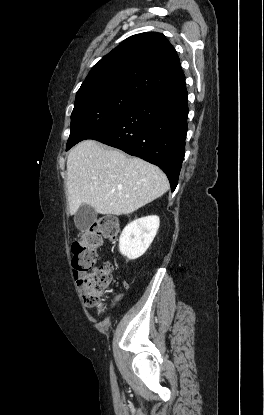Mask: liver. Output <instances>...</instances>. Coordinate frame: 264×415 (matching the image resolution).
<instances>
[{
	"label": "liver",
	"mask_w": 264,
	"mask_h": 415,
	"mask_svg": "<svg viewBox=\"0 0 264 415\" xmlns=\"http://www.w3.org/2000/svg\"><path fill=\"white\" fill-rule=\"evenodd\" d=\"M66 185L71 215L84 204L103 215L130 214L169 188L159 167L94 140L69 152Z\"/></svg>",
	"instance_id": "obj_1"
}]
</instances>
